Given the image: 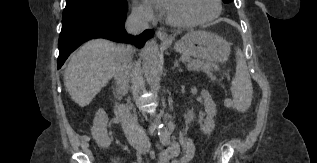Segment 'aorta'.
Listing matches in <instances>:
<instances>
[{"mask_svg":"<svg viewBox=\"0 0 317 163\" xmlns=\"http://www.w3.org/2000/svg\"><path fill=\"white\" fill-rule=\"evenodd\" d=\"M142 56L147 83L153 91L157 92L162 75V57L155 40L151 39L145 43Z\"/></svg>","mask_w":317,"mask_h":163,"instance_id":"762f6f07","label":"aorta"}]
</instances>
